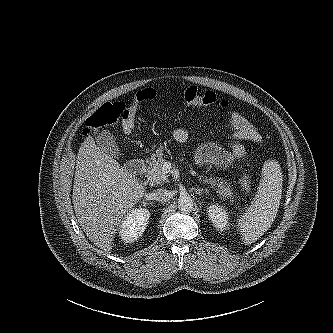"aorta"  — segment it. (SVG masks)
Returning <instances> with one entry per match:
<instances>
[{
    "instance_id": "obj_1",
    "label": "aorta",
    "mask_w": 333,
    "mask_h": 333,
    "mask_svg": "<svg viewBox=\"0 0 333 333\" xmlns=\"http://www.w3.org/2000/svg\"><path fill=\"white\" fill-rule=\"evenodd\" d=\"M193 200L187 194L180 195L178 199V208L181 212L188 213L193 210Z\"/></svg>"
}]
</instances>
